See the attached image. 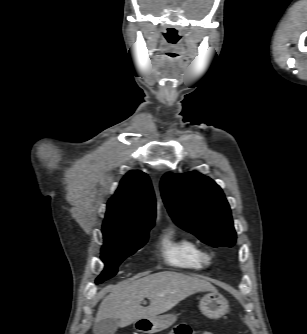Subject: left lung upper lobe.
I'll return each mask as SVG.
<instances>
[{
	"label": "left lung upper lobe",
	"instance_id": "left-lung-upper-lobe-1",
	"mask_svg": "<svg viewBox=\"0 0 307 334\" xmlns=\"http://www.w3.org/2000/svg\"><path fill=\"white\" fill-rule=\"evenodd\" d=\"M160 188L165 206L179 227L213 247L235 243L229 204L212 179L197 172L167 173Z\"/></svg>",
	"mask_w": 307,
	"mask_h": 334
}]
</instances>
